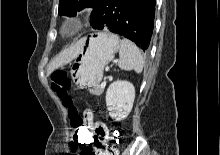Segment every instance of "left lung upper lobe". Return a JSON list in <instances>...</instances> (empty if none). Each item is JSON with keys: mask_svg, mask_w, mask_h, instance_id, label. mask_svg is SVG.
Returning <instances> with one entry per match:
<instances>
[{"mask_svg": "<svg viewBox=\"0 0 220 155\" xmlns=\"http://www.w3.org/2000/svg\"><path fill=\"white\" fill-rule=\"evenodd\" d=\"M99 0H60L59 14L65 16H75L77 11L86 7H94Z\"/></svg>", "mask_w": 220, "mask_h": 155, "instance_id": "left-lung-upper-lobe-1", "label": "left lung upper lobe"}]
</instances>
